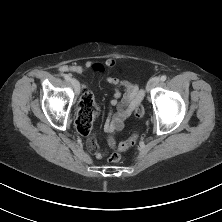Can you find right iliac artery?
I'll list each match as a JSON object with an SVG mask.
<instances>
[{
	"mask_svg": "<svg viewBox=\"0 0 222 222\" xmlns=\"http://www.w3.org/2000/svg\"><path fill=\"white\" fill-rule=\"evenodd\" d=\"M64 78L67 80V81H70L71 80V77L69 75H65Z\"/></svg>",
	"mask_w": 222,
	"mask_h": 222,
	"instance_id": "82829eb1",
	"label": "right iliac artery"
}]
</instances>
